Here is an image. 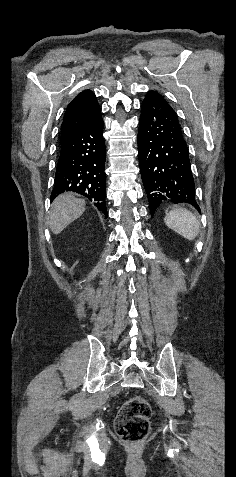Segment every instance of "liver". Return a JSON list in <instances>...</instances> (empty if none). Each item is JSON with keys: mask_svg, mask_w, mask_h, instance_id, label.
<instances>
[{"mask_svg": "<svg viewBox=\"0 0 236 477\" xmlns=\"http://www.w3.org/2000/svg\"><path fill=\"white\" fill-rule=\"evenodd\" d=\"M85 201L75 198L70 193L59 195L52 203L49 226L54 234L62 232L70 223L79 218L85 211Z\"/></svg>", "mask_w": 236, "mask_h": 477, "instance_id": "liver-1", "label": "liver"}]
</instances>
